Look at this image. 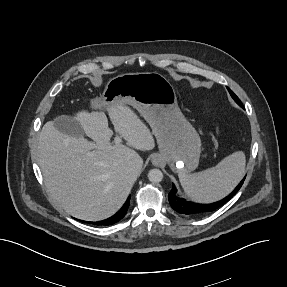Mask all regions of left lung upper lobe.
<instances>
[{"label": "left lung upper lobe", "instance_id": "1", "mask_svg": "<svg viewBox=\"0 0 287 287\" xmlns=\"http://www.w3.org/2000/svg\"><path fill=\"white\" fill-rule=\"evenodd\" d=\"M227 89H228L231 97L236 101V103L239 104L241 107H243L240 99L233 93V91L231 89H229V88H227Z\"/></svg>", "mask_w": 287, "mask_h": 287}]
</instances>
